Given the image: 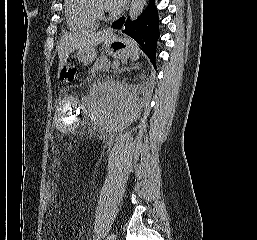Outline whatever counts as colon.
<instances>
[{
	"mask_svg": "<svg viewBox=\"0 0 257 240\" xmlns=\"http://www.w3.org/2000/svg\"><path fill=\"white\" fill-rule=\"evenodd\" d=\"M77 76V67L72 63H67L61 70V80L65 83H72ZM53 201L52 185L48 181L44 189V205L45 208H49Z\"/></svg>",
	"mask_w": 257,
	"mask_h": 240,
	"instance_id": "obj_1",
	"label": "colon"
}]
</instances>
